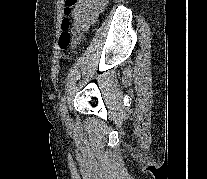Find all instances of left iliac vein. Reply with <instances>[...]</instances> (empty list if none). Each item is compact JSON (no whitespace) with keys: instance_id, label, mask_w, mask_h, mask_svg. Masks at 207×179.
I'll list each match as a JSON object with an SVG mask.
<instances>
[{"instance_id":"4c4485c4","label":"left iliac vein","mask_w":207,"mask_h":179,"mask_svg":"<svg viewBox=\"0 0 207 179\" xmlns=\"http://www.w3.org/2000/svg\"><path fill=\"white\" fill-rule=\"evenodd\" d=\"M65 121H68L69 120V115L66 114V116L64 117Z\"/></svg>"}]
</instances>
